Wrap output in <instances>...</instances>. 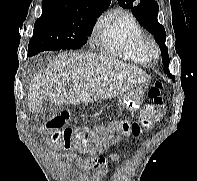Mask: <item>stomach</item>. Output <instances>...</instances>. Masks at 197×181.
I'll use <instances>...</instances> for the list:
<instances>
[{
	"label": "stomach",
	"mask_w": 197,
	"mask_h": 181,
	"mask_svg": "<svg viewBox=\"0 0 197 181\" xmlns=\"http://www.w3.org/2000/svg\"><path fill=\"white\" fill-rule=\"evenodd\" d=\"M143 95L144 89L143 86L140 85L122 94L119 97L120 105L129 111L137 110L141 105Z\"/></svg>",
	"instance_id": "obj_1"
}]
</instances>
